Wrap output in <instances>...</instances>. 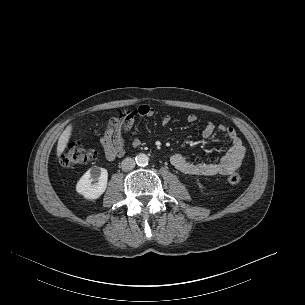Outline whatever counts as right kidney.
I'll return each instance as SVG.
<instances>
[{"label": "right kidney", "instance_id": "right-kidney-1", "mask_svg": "<svg viewBox=\"0 0 305 305\" xmlns=\"http://www.w3.org/2000/svg\"><path fill=\"white\" fill-rule=\"evenodd\" d=\"M107 182V170L93 166L77 182L76 191L88 200L97 199L105 192Z\"/></svg>", "mask_w": 305, "mask_h": 305}]
</instances>
